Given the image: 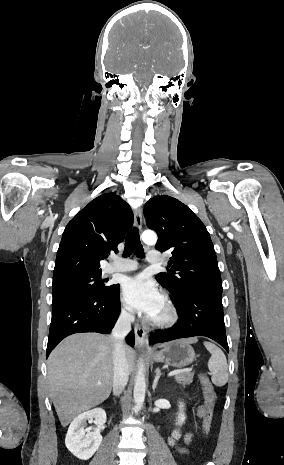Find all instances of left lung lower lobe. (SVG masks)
I'll return each instance as SVG.
<instances>
[{"label":"left lung lower lobe","mask_w":284,"mask_h":465,"mask_svg":"<svg viewBox=\"0 0 284 465\" xmlns=\"http://www.w3.org/2000/svg\"><path fill=\"white\" fill-rule=\"evenodd\" d=\"M170 298L178 306L179 320L171 329L151 332L150 344L206 336L218 342L228 352L222 294L196 289Z\"/></svg>","instance_id":"left-lung-lower-lobe-1"}]
</instances>
